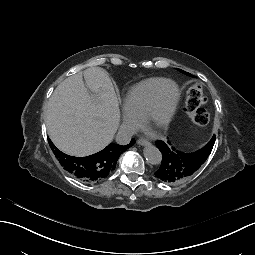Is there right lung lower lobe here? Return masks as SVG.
<instances>
[{
  "label": "right lung lower lobe",
  "mask_w": 255,
  "mask_h": 255,
  "mask_svg": "<svg viewBox=\"0 0 255 255\" xmlns=\"http://www.w3.org/2000/svg\"><path fill=\"white\" fill-rule=\"evenodd\" d=\"M135 143V140L132 139ZM83 170L86 171L85 175L90 177L92 174H97L100 171V160L94 158L92 153H85L83 155Z\"/></svg>",
  "instance_id": "1"
}]
</instances>
